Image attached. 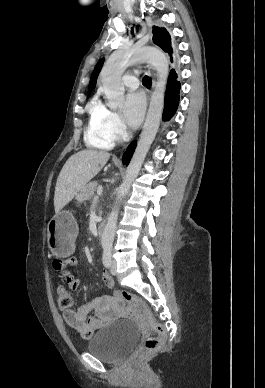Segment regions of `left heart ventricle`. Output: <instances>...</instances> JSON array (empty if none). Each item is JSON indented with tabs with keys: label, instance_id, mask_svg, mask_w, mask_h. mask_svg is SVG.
Returning a JSON list of instances; mask_svg holds the SVG:
<instances>
[{
	"label": "left heart ventricle",
	"instance_id": "obj_1",
	"mask_svg": "<svg viewBox=\"0 0 265 388\" xmlns=\"http://www.w3.org/2000/svg\"><path fill=\"white\" fill-rule=\"evenodd\" d=\"M122 87H124V91H129L131 89L130 86H123V84Z\"/></svg>",
	"mask_w": 265,
	"mask_h": 388
}]
</instances>
